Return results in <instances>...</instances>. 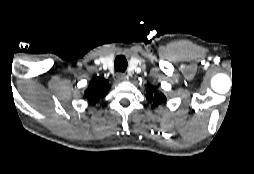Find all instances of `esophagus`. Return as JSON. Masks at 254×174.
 Listing matches in <instances>:
<instances>
[{"instance_id": "obj_1", "label": "esophagus", "mask_w": 254, "mask_h": 174, "mask_svg": "<svg viewBox=\"0 0 254 174\" xmlns=\"http://www.w3.org/2000/svg\"><path fill=\"white\" fill-rule=\"evenodd\" d=\"M117 79L119 81L127 80V75L125 73L119 72V73H117Z\"/></svg>"}]
</instances>
